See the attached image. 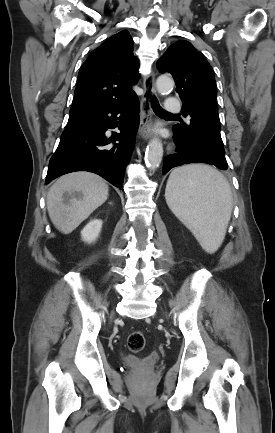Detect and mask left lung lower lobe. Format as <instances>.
Returning a JSON list of instances; mask_svg holds the SVG:
<instances>
[{"label":"left lung lower lobe","mask_w":275,"mask_h":433,"mask_svg":"<svg viewBox=\"0 0 275 433\" xmlns=\"http://www.w3.org/2000/svg\"><path fill=\"white\" fill-rule=\"evenodd\" d=\"M174 141L177 144V154L169 155L165 160L163 164V174H166L171 168L181 166L183 164H190V163H204L201 161L196 160L194 157H192L190 154H188L186 148L180 142V140L174 136Z\"/></svg>","instance_id":"left-lung-lower-lobe-1"}]
</instances>
